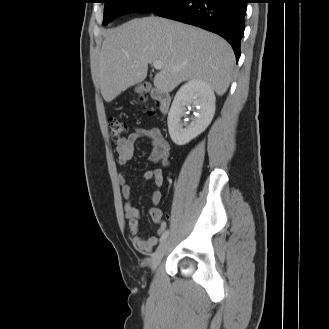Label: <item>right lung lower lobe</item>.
<instances>
[{"label": "right lung lower lobe", "instance_id": "98d812e1", "mask_svg": "<svg viewBox=\"0 0 329 329\" xmlns=\"http://www.w3.org/2000/svg\"><path fill=\"white\" fill-rule=\"evenodd\" d=\"M246 3L247 0H171L154 13L220 35L231 44L238 61Z\"/></svg>", "mask_w": 329, "mask_h": 329}]
</instances>
